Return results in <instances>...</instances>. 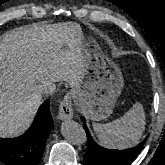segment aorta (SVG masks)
I'll return each instance as SVG.
<instances>
[{"label":"aorta","instance_id":"1","mask_svg":"<svg viewBox=\"0 0 165 165\" xmlns=\"http://www.w3.org/2000/svg\"><path fill=\"white\" fill-rule=\"evenodd\" d=\"M61 133L68 142L74 145H82L87 140L85 130L75 121L63 123Z\"/></svg>","mask_w":165,"mask_h":165}]
</instances>
